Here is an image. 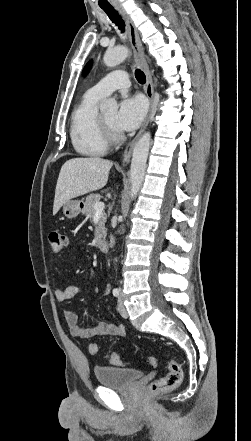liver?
Listing matches in <instances>:
<instances>
[{
  "instance_id": "6515ba94",
  "label": "liver",
  "mask_w": 251,
  "mask_h": 441,
  "mask_svg": "<svg viewBox=\"0 0 251 441\" xmlns=\"http://www.w3.org/2000/svg\"><path fill=\"white\" fill-rule=\"evenodd\" d=\"M113 163L99 157L72 158L61 167L55 189L53 215L72 198L103 188Z\"/></svg>"
}]
</instances>
